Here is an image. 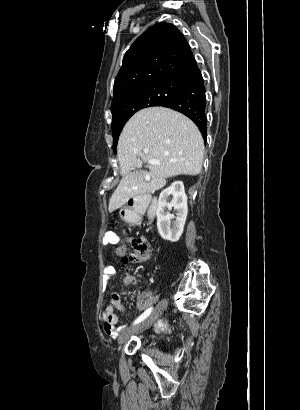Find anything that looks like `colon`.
I'll return each mask as SVG.
<instances>
[{
  "mask_svg": "<svg viewBox=\"0 0 300 410\" xmlns=\"http://www.w3.org/2000/svg\"><path fill=\"white\" fill-rule=\"evenodd\" d=\"M129 251L126 256L123 257L125 264H137L148 260L151 247L144 237L134 236L129 238Z\"/></svg>",
  "mask_w": 300,
  "mask_h": 410,
  "instance_id": "colon-1",
  "label": "colon"
}]
</instances>
